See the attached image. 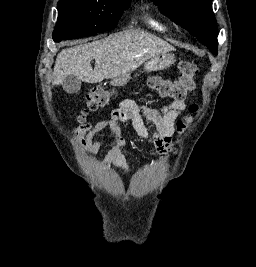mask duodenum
<instances>
[{
    "label": "duodenum",
    "mask_w": 256,
    "mask_h": 267,
    "mask_svg": "<svg viewBox=\"0 0 256 267\" xmlns=\"http://www.w3.org/2000/svg\"><path fill=\"white\" fill-rule=\"evenodd\" d=\"M144 71H153V66H144ZM130 81V74H121V77H116L112 79L113 86H126L127 82Z\"/></svg>",
    "instance_id": "1"
}]
</instances>
